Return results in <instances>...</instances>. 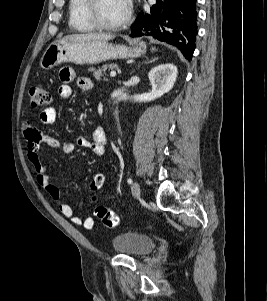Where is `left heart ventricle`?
I'll list each match as a JSON object with an SVG mask.
<instances>
[{
  "mask_svg": "<svg viewBox=\"0 0 267 301\" xmlns=\"http://www.w3.org/2000/svg\"><path fill=\"white\" fill-rule=\"evenodd\" d=\"M126 0H100L98 13L107 24H115L126 14Z\"/></svg>",
  "mask_w": 267,
  "mask_h": 301,
  "instance_id": "left-heart-ventricle-1",
  "label": "left heart ventricle"
}]
</instances>
